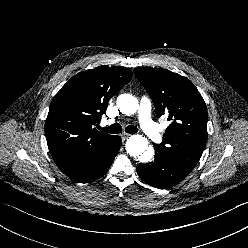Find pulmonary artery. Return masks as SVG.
<instances>
[{
  "label": "pulmonary artery",
  "instance_id": "1",
  "mask_svg": "<svg viewBox=\"0 0 248 248\" xmlns=\"http://www.w3.org/2000/svg\"><path fill=\"white\" fill-rule=\"evenodd\" d=\"M151 103L147 97H142L138 111L139 123L144 133L154 142H160L161 133L150 117Z\"/></svg>",
  "mask_w": 248,
  "mask_h": 248
}]
</instances>
